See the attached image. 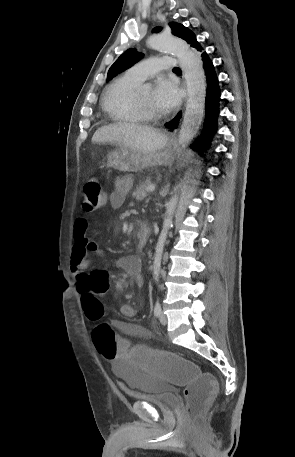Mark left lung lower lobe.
I'll list each match as a JSON object with an SVG mask.
<instances>
[{
  "mask_svg": "<svg viewBox=\"0 0 295 457\" xmlns=\"http://www.w3.org/2000/svg\"><path fill=\"white\" fill-rule=\"evenodd\" d=\"M191 46L198 51L196 53L202 58L207 81L206 115L204 121V128L202 131V135L197 139V141L192 146L195 149L204 150L210 144L212 136L217 128V118L219 113L218 107L221 94L218 85V78L216 76L215 68L213 66L212 61L208 57L207 53L204 52V49L197 40H195L191 44ZM180 117L181 112H179L176 115V117L167 124V126L169 128H175L178 124Z\"/></svg>",
  "mask_w": 295,
  "mask_h": 457,
  "instance_id": "1",
  "label": "left lung lower lobe"
}]
</instances>
